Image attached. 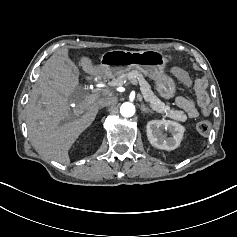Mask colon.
<instances>
[{"mask_svg": "<svg viewBox=\"0 0 237 237\" xmlns=\"http://www.w3.org/2000/svg\"><path fill=\"white\" fill-rule=\"evenodd\" d=\"M173 73L185 85L190 86L192 84L190 76L185 70L181 68H174ZM195 127L196 131L201 135H207L211 129V125L207 120L198 121Z\"/></svg>", "mask_w": 237, "mask_h": 237, "instance_id": "obj_1", "label": "colon"}]
</instances>
